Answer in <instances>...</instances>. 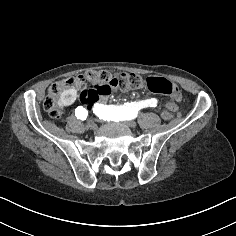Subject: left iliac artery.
Wrapping results in <instances>:
<instances>
[{
  "instance_id": "left-iliac-artery-1",
  "label": "left iliac artery",
  "mask_w": 236,
  "mask_h": 236,
  "mask_svg": "<svg viewBox=\"0 0 236 236\" xmlns=\"http://www.w3.org/2000/svg\"><path fill=\"white\" fill-rule=\"evenodd\" d=\"M156 103L157 100L155 98L135 103H124V105L120 106H107L96 103L94 104L93 113H95L99 119L119 122L136 118L140 109L149 106L154 107Z\"/></svg>"
}]
</instances>
